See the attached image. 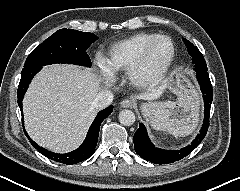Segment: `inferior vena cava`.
I'll return each instance as SVG.
<instances>
[{
	"label": "inferior vena cava",
	"instance_id": "1",
	"mask_svg": "<svg viewBox=\"0 0 240 191\" xmlns=\"http://www.w3.org/2000/svg\"><path fill=\"white\" fill-rule=\"evenodd\" d=\"M113 101V94L109 90L101 91L92 102V107L102 110L109 106Z\"/></svg>",
	"mask_w": 240,
	"mask_h": 191
}]
</instances>
